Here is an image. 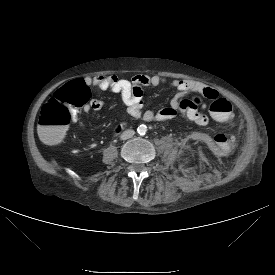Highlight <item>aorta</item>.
I'll return each instance as SVG.
<instances>
[{"mask_svg":"<svg viewBox=\"0 0 275 275\" xmlns=\"http://www.w3.org/2000/svg\"><path fill=\"white\" fill-rule=\"evenodd\" d=\"M137 131L140 135H144L147 132V127L145 125H140L138 127Z\"/></svg>","mask_w":275,"mask_h":275,"instance_id":"762f6f07","label":"aorta"}]
</instances>
